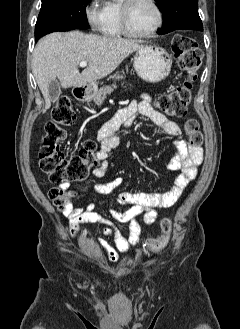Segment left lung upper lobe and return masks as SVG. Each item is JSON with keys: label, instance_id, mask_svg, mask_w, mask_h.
<instances>
[{"label": "left lung upper lobe", "instance_id": "5c2ea615", "mask_svg": "<svg viewBox=\"0 0 240 329\" xmlns=\"http://www.w3.org/2000/svg\"><path fill=\"white\" fill-rule=\"evenodd\" d=\"M162 12L163 27L158 34L179 29L203 31L202 21L198 14V0H155Z\"/></svg>", "mask_w": 240, "mask_h": 329}]
</instances>
